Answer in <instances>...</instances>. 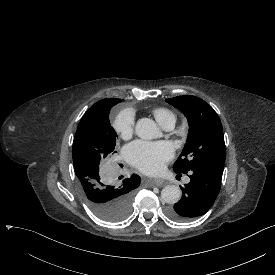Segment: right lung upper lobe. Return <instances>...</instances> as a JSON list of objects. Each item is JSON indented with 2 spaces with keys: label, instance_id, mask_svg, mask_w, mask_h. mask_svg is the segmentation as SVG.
<instances>
[{
  "label": "right lung upper lobe",
  "instance_id": "right-lung-upper-lobe-1",
  "mask_svg": "<svg viewBox=\"0 0 275 275\" xmlns=\"http://www.w3.org/2000/svg\"><path fill=\"white\" fill-rule=\"evenodd\" d=\"M122 101V99H117V98H108V99H103L101 101H98L97 103H95L90 109L89 111H99L102 110L106 107L109 106H114L117 103H120Z\"/></svg>",
  "mask_w": 275,
  "mask_h": 275
}]
</instances>
